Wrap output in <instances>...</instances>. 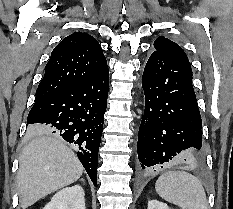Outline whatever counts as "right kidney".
I'll return each instance as SVG.
<instances>
[{"mask_svg":"<svg viewBox=\"0 0 233 209\" xmlns=\"http://www.w3.org/2000/svg\"><path fill=\"white\" fill-rule=\"evenodd\" d=\"M43 209H85L84 189L80 185L64 188Z\"/></svg>","mask_w":233,"mask_h":209,"instance_id":"1","label":"right kidney"}]
</instances>
